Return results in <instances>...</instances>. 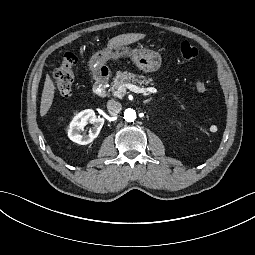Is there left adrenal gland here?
<instances>
[{
  "label": "left adrenal gland",
  "instance_id": "obj_1",
  "mask_svg": "<svg viewBox=\"0 0 255 255\" xmlns=\"http://www.w3.org/2000/svg\"><path fill=\"white\" fill-rule=\"evenodd\" d=\"M150 101H151V98H150V99L145 100V101H144V103H148V102H150Z\"/></svg>",
  "mask_w": 255,
  "mask_h": 255
}]
</instances>
